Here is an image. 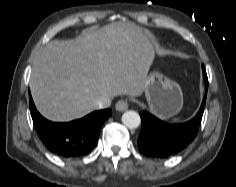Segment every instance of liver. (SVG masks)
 Listing matches in <instances>:
<instances>
[{"label":"liver","instance_id":"liver-1","mask_svg":"<svg viewBox=\"0 0 236 187\" xmlns=\"http://www.w3.org/2000/svg\"><path fill=\"white\" fill-rule=\"evenodd\" d=\"M153 51L152 36L125 22L84 30L76 39L51 41L32 65L34 103L45 118L65 122L95 110L102 96H140Z\"/></svg>","mask_w":236,"mask_h":187}]
</instances>
